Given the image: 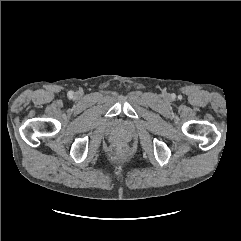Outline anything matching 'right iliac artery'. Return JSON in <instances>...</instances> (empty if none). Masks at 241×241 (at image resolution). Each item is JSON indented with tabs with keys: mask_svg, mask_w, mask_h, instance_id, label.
I'll list each match as a JSON object with an SVG mask.
<instances>
[{
	"mask_svg": "<svg viewBox=\"0 0 241 241\" xmlns=\"http://www.w3.org/2000/svg\"><path fill=\"white\" fill-rule=\"evenodd\" d=\"M72 94H73V93H72V92H70V93H69V96H72Z\"/></svg>",
	"mask_w": 241,
	"mask_h": 241,
	"instance_id": "obj_1",
	"label": "right iliac artery"
}]
</instances>
